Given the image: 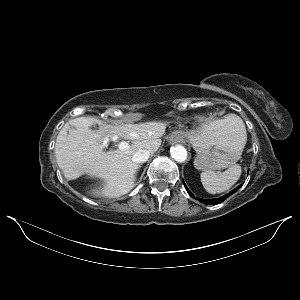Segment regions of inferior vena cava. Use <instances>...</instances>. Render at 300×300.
<instances>
[{
	"label": "inferior vena cava",
	"instance_id": "602c4592",
	"mask_svg": "<svg viewBox=\"0 0 300 300\" xmlns=\"http://www.w3.org/2000/svg\"><path fill=\"white\" fill-rule=\"evenodd\" d=\"M149 156H150V152L148 150L141 149L133 155L132 161L136 164H141L146 162Z\"/></svg>",
	"mask_w": 300,
	"mask_h": 300
}]
</instances>
